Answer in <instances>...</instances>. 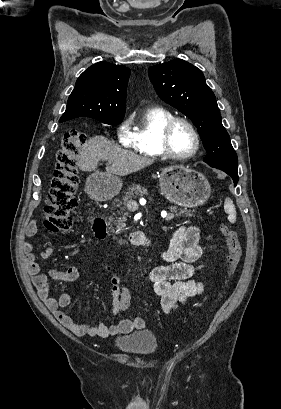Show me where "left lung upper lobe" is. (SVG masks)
Instances as JSON below:
<instances>
[{
  "label": "left lung upper lobe",
  "mask_w": 281,
  "mask_h": 409,
  "mask_svg": "<svg viewBox=\"0 0 281 409\" xmlns=\"http://www.w3.org/2000/svg\"><path fill=\"white\" fill-rule=\"evenodd\" d=\"M149 77L159 97L185 114L197 127L207 151L204 161L210 166H238L215 95L202 71L182 59H175L150 67Z\"/></svg>",
  "instance_id": "obj_1"
}]
</instances>
